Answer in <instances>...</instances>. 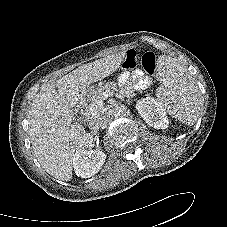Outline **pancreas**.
<instances>
[{
    "instance_id": "obj_1",
    "label": "pancreas",
    "mask_w": 227,
    "mask_h": 227,
    "mask_svg": "<svg viewBox=\"0 0 227 227\" xmlns=\"http://www.w3.org/2000/svg\"><path fill=\"white\" fill-rule=\"evenodd\" d=\"M116 90H117V87L114 82L106 83L104 86H101L97 89H90L87 97L89 102L88 109L91 106V104H93L96 101V99L102 96L104 92L110 91L111 93H113ZM100 109L101 107L98 108L94 113H97Z\"/></svg>"
}]
</instances>
